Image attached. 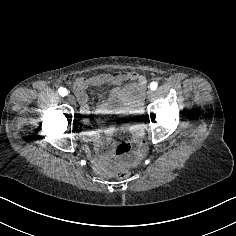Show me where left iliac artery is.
<instances>
[{
	"instance_id": "44dca946",
	"label": "left iliac artery",
	"mask_w": 236,
	"mask_h": 236,
	"mask_svg": "<svg viewBox=\"0 0 236 236\" xmlns=\"http://www.w3.org/2000/svg\"><path fill=\"white\" fill-rule=\"evenodd\" d=\"M158 87V84L156 83V82H151V84H150V89L151 90H156V88Z\"/></svg>"
}]
</instances>
